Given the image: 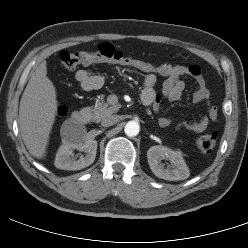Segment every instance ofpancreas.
<instances>
[{
    "label": "pancreas",
    "mask_w": 248,
    "mask_h": 248,
    "mask_svg": "<svg viewBox=\"0 0 248 248\" xmlns=\"http://www.w3.org/2000/svg\"><path fill=\"white\" fill-rule=\"evenodd\" d=\"M120 107V104L109 106L108 103L102 100L98 102L94 107L89 108V110L92 112L93 120L99 121L107 116L112 115L113 113H116Z\"/></svg>",
    "instance_id": "obj_1"
}]
</instances>
